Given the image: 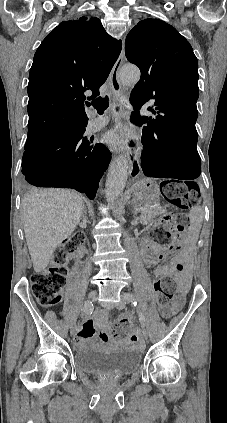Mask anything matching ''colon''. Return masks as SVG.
Here are the masks:
<instances>
[{"instance_id":"5ec220e1","label":"colon","mask_w":227,"mask_h":423,"mask_svg":"<svg viewBox=\"0 0 227 423\" xmlns=\"http://www.w3.org/2000/svg\"><path fill=\"white\" fill-rule=\"evenodd\" d=\"M162 194L180 212L163 215L160 223L152 232V238L156 243L176 249L178 245L174 240L173 233H181L183 231L185 218L183 212L198 200L199 189L195 183H186L183 186L174 183H164ZM84 241V234L78 233L70 240L64 242L54 252L50 265L33 276L31 293L40 305L49 307L60 302L68 276V263L71 257L82 247ZM154 287L160 305H167L175 296V286L169 278L159 279ZM116 324L120 330L125 332L132 329L131 322L125 317L119 318Z\"/></svg>"}]
</instances>
